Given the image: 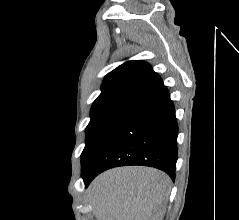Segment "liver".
I'll return each instance as SVG.
<instances>
[{"label":"liver","mask_w":239,"mask_h":220,"mask_svg":"<svg viewBox=\"0 0 239 220\" xmlns=\"http://www.w3.org/2000/svg\"><path fill=\"white\" fill-rule=\"evenodd\" d=\"M170 184V178L154 168H114L91 183L89 202L96 220H163Z\"/></svg>","instance_id":"liver-1"}]
</instances>
